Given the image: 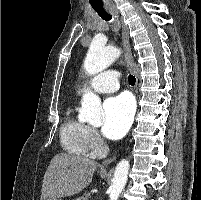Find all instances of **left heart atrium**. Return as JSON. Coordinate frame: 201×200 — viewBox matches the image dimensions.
<instances>
[{
    "mask_svg": "<svg viewBox=\"0 0 201 200\" xmlns=\"http://www.w3.org/2000/svg\"><path fill=\"white\" fill-rule=\"evenodd\" d=\"M103 134L112 140L122 138L129 130L134 107L127 95H118L109 98L103 106Z\"/></svg>",
    "mask_w": 201,
    "mask_h": 200,
    "instance_id": "obj_1",
    "label": "left heart atrium"
}]
</instances>
